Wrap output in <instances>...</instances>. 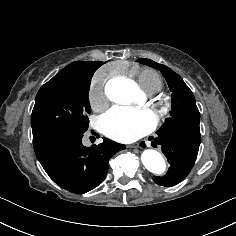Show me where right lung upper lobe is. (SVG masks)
I'll return each mask as SVG.
<instances>
[{"label": "right lung upper lobe", "instance_id": "right-lung-upper-lobe-1", "mask_svg": "<svg viewBox=\"0 0 236 236\" xmlns=\"http://www.w3.org/2000/svg\"><path fill=\"white\" fill-rule=\"evenodd\" d=\"M105 62L76 61L63 68L58 76H77L94 73Z\"/></svg>", "mask_w": 236, "mask_h": 236}]
</instances>
